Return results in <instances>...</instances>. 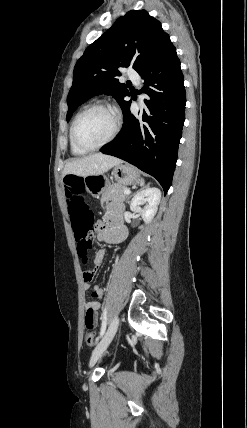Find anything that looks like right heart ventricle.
<instances>
[{
  "label": "right heart ventricle",
  "instance_id": "1",
  "mask_svg": "<svg viewBox=\"0 0 247 428\" xmlns=\"http://www.w3.org/2000/svg\"><path fill=\"white\" fill-rule=\"evenodd\" d=\"M69 140H70V148H71V151H72V153H73L74 155H78V156H80V155H84V154H86V153H87V151H86V150H83V149H81V148L77 147V146L73 143V141H72V139H71V132H70V134H69Z\"/></svg>",
  "mask_w": 247,
  "mask_h": 428
}]
</instances>
